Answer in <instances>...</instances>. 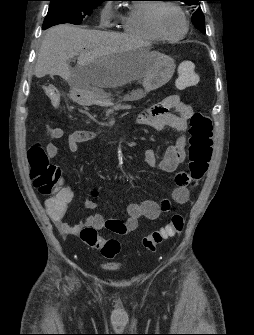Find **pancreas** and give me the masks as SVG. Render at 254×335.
<instances>
[{"label": "pancreas", "mask_w": 254, "mask_h": 335, "mask_svg": "<svg viewBox=\"0 0 254 335\" xmlns=\"http://www.w3.org/2000/svg\"><path fill=\"white\" fill-rule=\"evenodd\" d=\"M124 110V109H131V105H121V104H116L114 105L111 109H109L107 111L108 114L110 113H113L114 111H117V110Z\"/></svg>", "instance_id": "cf45deb5"}]
</instances>
